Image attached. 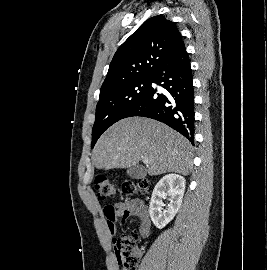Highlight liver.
I'll use <instances>...</instances> for the list:
<instances>
[{"instance_id": "liver-1", "label": "liver", "mask_w": 267, "mask_h": 270, "mask_svg": "<svg viewBox=\"0 0 267 270\" xmlns=\"http://www.w3.org/2000/svg\"><path fill=\"white\" fill-rule=\"evenodd\" d=\"M193 147L181 134L155 120L129 117L104 132L93 150L97 169L129 168L144 157L148 174L179 173L192 168Z\"/></svg>"}]
</instances>
